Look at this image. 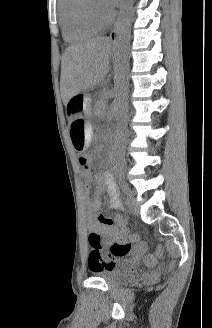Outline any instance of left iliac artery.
I'll use <instances>...</instances> for the list:
<instances>
[{
  "mask_svg": "<svg viewBox=\"0 0 212 328\" xmlns=\"http://www.w3.org/2000/svg\"><path fill=\"white\" fill-rule=\"evenodd\" d=\"M121 188H122V191L127 194L128 193V186L123 182L121 181Z\"/></svg>",
  "mask_w": 212,
  "mask_h": 328,
  "instance_id": "left-iliac-artery-1",
  "label": "left iliac artery"
}]
</instances>
